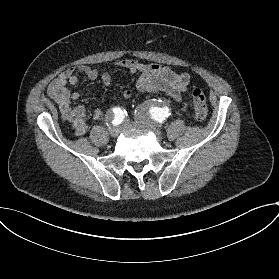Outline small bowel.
<instances>
[{"mask_svg": "<svg viewBox=\"0 0 279 279\" xmlns=\"http://www.w3.org/2000/svg\"><path fill=\"white\" fill-rule=\"evenodd\" d=\"M119 68L126 69L132 73H138L137 88L142 92L162 93L171 97L174 101L180 99L181 92L185 91L190 84L188 73H177L170 67L156 63H143L134 59H122L115 62ZM76 71L83 73L89 80H95L99 74L95 68L81 65L70 67L59 74L48 87V96L57 104L63 122L69 124L77 136L84 135L88 129L87 112L82 107L72 109V100L79 99L82 94L79 92H69L67 85H76L79 77ZM101 81L106 86L112 85V78L108 72L100 76ZM121 96L129 100L132 96L131 91L124 89ZM103 115L102 109H95L92 113L93 119H99Z\"/></svg>", "mask_w": 279, "mask_h": 279, "instance_id": "small-bowel-1", "label": "small bowel"}]
</instances>
